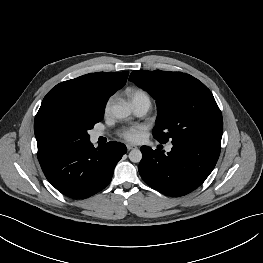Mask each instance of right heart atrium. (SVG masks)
I'll return each instance as SVG.
<instances>
[{
  "label": "right heart atrium",
  "instance_id": "d8ad5b80",
  "mask_svg": "<svg viewBox=\"0 0 263 263\" xmlns=\"http://www.w3.org/2000/svg\"><path fill=\"white\" fill-rule=\"evenodd\" d=\"M113 98H109L105 105H104V113L108 114L111 111V106H112Z\"/></svg>",
  "mask_w": 263,
  "mask_h": 263
}]
</instances>
